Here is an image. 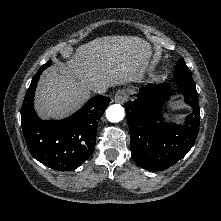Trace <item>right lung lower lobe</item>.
Here are the masks:
<instances>
[{"mask_svg": "<svg viewBox=\"0 0 221 221\" xmlns=\"http://www.w3.org/2000/svg\"><path fill=\"white\" fill-rule=\"evenodd\" d=\"M38 71L28 88L21 109V124L32 156L45 166L69 171L84 163L94 151L97 125L110 98L99 95L72 116L58 121H43L33 107Z\"/></svg>", "mask_w": 221, "mask_h": 221, "instance_id": "obj_1", "label": "right lung lower lobe"}]
</instances>
